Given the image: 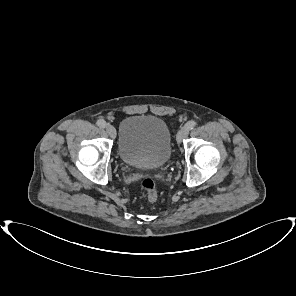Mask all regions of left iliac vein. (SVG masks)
<instances>
[{"label": "left iliac vein", "instance_id": "obj_1", "mask_svg": "<svg viewBox=\"0 0 296 296\" xmlns=\"http://www.w3.org/2000/svg\"><path fill=\"white\" fill-rule=\"evenodd\" d=\"M188 133H189V129L186 126L182 127L178 131L177 137H176L178 144H180L182 140L187 137Z\"/></svg>", "mask_w": 296, "mask_h": 296}]
</instances>
